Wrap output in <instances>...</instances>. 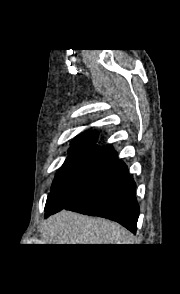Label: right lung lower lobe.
<instances>
[{"label": "right lung lower lobe", "instance_id": "right-lung-lower-lobe-1", "mask_svg": "<svg viewBox=\"0 0 180 294\" xmlns=\"http://www.w3.org/2000/svg\"><path fill=\"white\" fill-rule=\"evenodd\" d=\"M136 184L111 145L98 147L72 182L45 207V217L62 209L114 220L136 232Z\"/></svg>", "mask_w": 180, "mask_h": 294}]
</instances>
